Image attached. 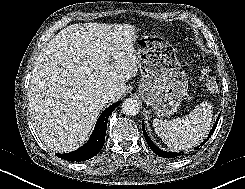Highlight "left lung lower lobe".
<instances>
[{
  "label": "left lung lower lobe",
  "mask_w": 245,
  "mask_h": 189,
  "mask_svg": "<svg viewBox=\"0 0 245 189\" xmlns=\"http://www.w3.org/2000/svg\"><path fill=\"white\" fill-rule=\"evenodd\" d=\"M219 116H220V115H219ZM218 120H219V117H218V119L216 120V123L213 125V128H212V130L210 131L208 137L204 140V142H202V143L200 144V146H202L203 144H205V142H207L208 139L211 137V135L213 134V132H214L216 126H217ZM142 130H143V134H144V137H145V139H146L147 144L150 146V148L152 149V151H153L155 154H157L158 156L164 157V158H175V157H177V156H181V155L184 154V152H182V153H177V152L174 153V152H166V151H163V150L159 149V148L152 142V140L148 137V135H147V133H146V131H145V127H144V123H143V122H142ZM198 148H199V147H196L195 149H198Z\"/></svg>",
  "instance_id": "0a47b994"
}]
</instances>
